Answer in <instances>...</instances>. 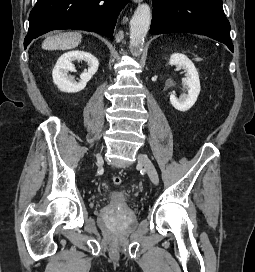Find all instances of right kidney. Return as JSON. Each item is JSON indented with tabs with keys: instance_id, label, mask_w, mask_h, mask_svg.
<instances>
[{
	"instance_id": "ca27d5eb",
	"label": "right kidney",
	"mask_w": 255,
	"mask_h": 272,
	"mask_svg": "<svg viewBox=\"0 0 255 272\" xmlns=\"http://www.w3.org/2000/svg\"><path fill=\"white\" fill-rule=\"evenodd\" d=\"M74 60H83L88 65V70L80 75L79 82H75L73 77L67 75L68 71H75L72 63ZM98 66V60L91 53L79 50L64 53L60 56L52 71L53 82L60 91L67 93L79 92L85 88L87 82L97 72Z\"/></svg>"
}]
</instances>
